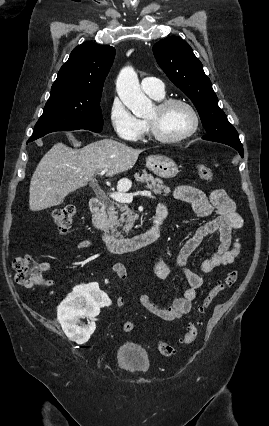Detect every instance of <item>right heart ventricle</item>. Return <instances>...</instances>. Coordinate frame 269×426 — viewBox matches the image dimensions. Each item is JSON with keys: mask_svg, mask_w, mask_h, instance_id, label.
Listing matches in <instances>:
<instances>
[{"mask_svg": "<svg viewBox=\"0 0 269 426\" xmlns=\"http://www.w3.org/2000/svg\"><path fill=\"white\" fill-rule=\"evenodd\" d=\"M153 98H155L156 100H161L163 97H160V98L153 97ZM145 129H146V126H145Z\"/></svg>", "mask_w": 269, "mask_h": 426, "instance_id": "1", "label": "right heart ventricle"}]
</instances>
